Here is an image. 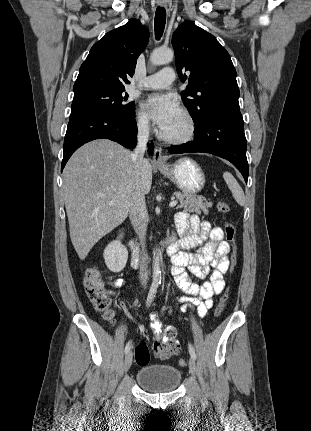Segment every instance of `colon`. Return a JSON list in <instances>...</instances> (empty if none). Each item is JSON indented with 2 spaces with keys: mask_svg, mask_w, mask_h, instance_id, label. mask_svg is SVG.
<instances>
[{
  "mask_svg": "<svg viewBox=\"0 0 311 431\" xmlns=\"http://www.w3.org/2000/svg\"><path fill=\"white\" fill-rule=\"evenodd\" d=\"M217 209L223 215H227L230 212V206L224 201L217 203ZM224 235L226 241L232 246V252L230 255L229 270L230 273L234 272L237 267V250L235 246L236 239V227L235 225L226 220L224 222ZM84 288L90 301L92 302L95 310L101 314L103 319L112 322L115 319V309L112 301L107 296L104 289L101 272L98 267L93 266L85 270L83 277ZM229 299V287L222 294L220 301L215 309V315L219 316L225 309L227 301ZM179 350V345L175 341L167 339H158L153 344L154 354L162 359H167L174 355ZM150 354L148 346L145 342H140L135 350V360L138 365H146L149 362ZM180 366L186 365L185 359L179 360Z\"/></svg>",
  "mask_w": 311,
  "mask_h": 431,
  "instance_id": "colon-1",
  "label": "colon"
}]
</instances>
